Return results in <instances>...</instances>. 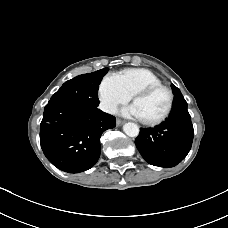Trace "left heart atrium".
Masks as SVG:
<instances>
[{
	"label": "left heart atrium",
	"mask_w": 228,
	"mask_h": 228,
	"mask_svg": "<svg viewBox=\"0 0 228 228\" xmlns=\"http://www.w3.org/2000/svg\"><path fill=\"white\" fill-rule=\"evenodd\" d=\"M121 114L124 116H133L136 118H141L140 113L135 104L125 107L121 110Z\"/></svg>",
	"instance_id": "obj_1"
}]
</instances>
